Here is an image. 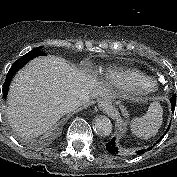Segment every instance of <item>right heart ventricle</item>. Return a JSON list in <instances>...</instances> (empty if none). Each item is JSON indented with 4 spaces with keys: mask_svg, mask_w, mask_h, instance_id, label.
<instances>
[{
    "mask_svg": "<svg viewBox=\"0 0 177 177\" xmlns=\"http://www.w3.org/2000/svg\"><path fill=\"white\" fill-rule=\"evenodd\" d=\"M101 74L109 81L113 83H125L128 82L130 76L140 77L143 79H150L143 73L135 69H127L122 67H109L105 70H101Z\"/></svg>",
    "mask_w": 177,
    "mask_h": 177,
    "instance_id": "right-heart-ventricle-1",
    "label": "right heart ventricle"
}]
</instances>
